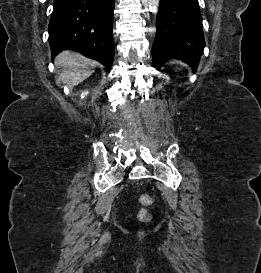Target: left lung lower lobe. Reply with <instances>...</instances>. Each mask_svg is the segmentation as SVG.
<instances>
[{"label":"left lung lower lobe","instance_id":"obj_1","mask_svg":"<svg viewBox=\"0 0 261 273\" xmlns=\"http://www.w3.org/2000/svg\"><path fill=\"white\" fill-rule=\"evenodd\" d=\"M204 47L198 0H160L152 47L154 66L159 69L176 58L195 70Z\"/></svg>","mask_w":261,"mask_h":273}]
</instances>
